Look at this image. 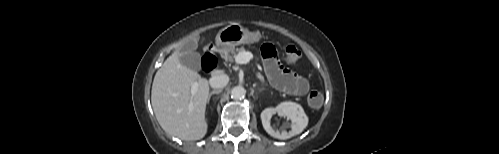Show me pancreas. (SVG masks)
Segmentation results:
<instances>
[{
  "instance_id": "1",
  "label": "pancreas",
  "mask_w": 499,
  "mask_h": 154,
  "mask_svg": "<svg viewBox=\"0 0 499 154\" xmlns=\"http://www.w3.org/2000/svg\"><path fill=\"white\" fill-rule=\"evenodd\" d=\"M245 51L244 47L240 48H226L221 50V55L222 57L226 60V62H232L233 58L236 56L237 53Z\"/></svg>"
}]
</instances>
